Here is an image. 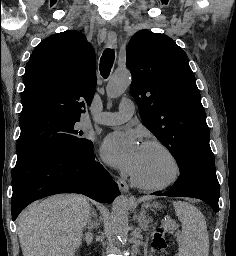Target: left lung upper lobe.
<instances>
[{"instance_id": "5c2ea615", "label": "left lung upper lobe", "mask_w": 236, "mask_h": 256, "mask_svg": "<svg viewBox=\"0 0 236 256\" xmlns=\"http://www.w3.org/2000/svg\"><path fill=\"white\" fill-rule=\"evenodd\" d=\"M131 94L146 127L168 148L180 172L215 169L209 129L186 53L170 37L138 31L126 52Z\"/></svg>"}]
</instances>
